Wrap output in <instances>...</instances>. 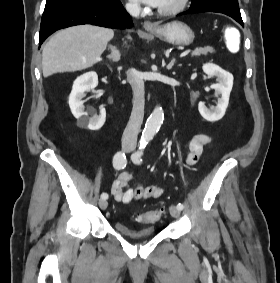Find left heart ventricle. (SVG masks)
Wrapping results in <instances>:
<instances>
[{"label": "left heart ventricle", "instance_id": "b2bd125f", "mask_svg": "<svg viewBox=\"0 0 280 283\" xmlns=\"http://www.w3.org/2000/svg\"><path fill=\"white\" fill-rule=\"evenodd\" d=\"M178 0H163L159 8H169L177 3Z\"/></svg>", "mask_w": 280, "mask_h": 283}]
</instances>
